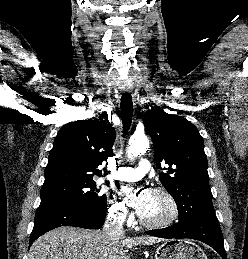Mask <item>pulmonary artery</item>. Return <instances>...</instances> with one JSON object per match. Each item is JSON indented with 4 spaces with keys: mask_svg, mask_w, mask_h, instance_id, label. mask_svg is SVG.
Wrapping results in <instances>:
<instances>
[{
    "mask_svg": "<svg viewBox=\"0 0 248 259\" xmlns=\"http://www.w3.org/2000/svg\"><path fill=\"white\" fill-rule=\"evenodd\" d=\"M151 169L150 162L147 159H142L139 162L137 168L132 167H119L110 176H107L108 180H119V181H136L141 179Z\"/></svg>",
    "mask_w": 248,
    "mask_h": 259,
    "instance_id": "1",
    "label": "pulmonary artery"
}]
</instances>
